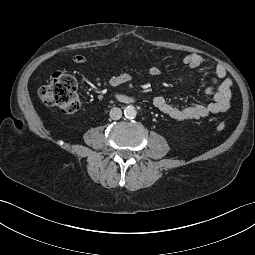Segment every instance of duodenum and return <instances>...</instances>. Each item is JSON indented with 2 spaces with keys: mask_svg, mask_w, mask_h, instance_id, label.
Segmentation results:
<instances>
[{
  "mask_svg": "<svg viewBox=\"0 0 255 255\" xmlns=\"http://www.w3.org/2000/svg\"><path fill=\"white\" fill-rule=\"evenodd\" d=\"M117 97L122 100L123 102H132V99L126 95L118 94Z\"/></svg>",
  "mask_w": 255,
  "mask_h": 255,
  "instance_id": "410a0bca",
  "label": "duodenum"
}]
</instances>
